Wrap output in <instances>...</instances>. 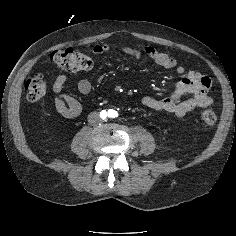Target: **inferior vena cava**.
Masks as SVG:
<instances>
[{
	"label": "inferior vena cava",
	"instance_id": "obj_1",
	"mask_svg": "<svg viewBox=\"0 0 236 236\" xmlns=\"http://www.w3.org/2000/svg\"><path fill=\"white\" fill-rule=\"evenodd\" d=\"M100 121H101V119H100L99 113L91 112L88 115V122H89V124L96 125V124L100 123Z\"/></svg>",
	"mask_w": 236,
	"mask_h": 236
}]
</instances>
